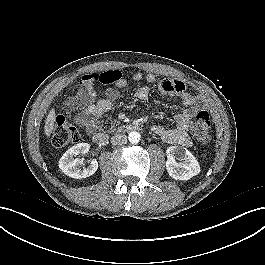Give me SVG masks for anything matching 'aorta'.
I'll use <instances>...</instances> for the list:
<instances>
[{
	"instance_id": "aorta-1",
	"label": "aorta",
	"mask_w": 265,
	"mask_h": 265,
	"mask_svg": "<svg viewBox=\"0 0 265 265\" xmlns=\"http://www.w3.org/2000/svg\"><path fill=\"white\" fill-rule=\"evenodd\" d=\"M141 135L139 132L132 131L128 135V139L131 143L136 144L140 141Z\"/></svg>"
}]
</instances>
